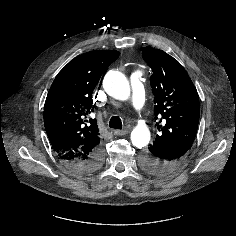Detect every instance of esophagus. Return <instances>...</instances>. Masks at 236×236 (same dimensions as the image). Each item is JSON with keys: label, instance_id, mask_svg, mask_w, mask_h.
<instances>
[{"label": "esophagus", "instance_id": "1", "mask_svg": "<svg viewBox=\"0 0 236 236\" xmlns=\"http://www.w3.org/2000/svg\"><path fill=\"white\" fill-rule=\"evenodd\" d=\"M114 133L118 136H124L128 133L127 130H115Z\"/></svg>", "mask_w": 236, "mask_h": 236}]
</instances>
